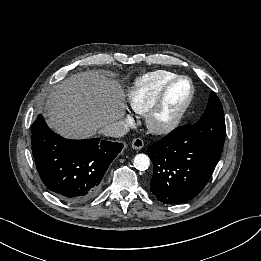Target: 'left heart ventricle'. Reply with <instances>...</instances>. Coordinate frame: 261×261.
I'll return each mask as SVG.
<instances>
[{"label": "left heart ventricle", "mask_w": 261, "mask_h": 261, "mask_svg": "<svg viewBox=\"0 0 261 261\" xmlns=\"http://www.w3.org/2000/svg\"><path fill=\"white\" fill-rule=\"evenodd\" d=\"M189 92L190 85L187 80H181L175 84L167 96L164 108L159 115V123H168L176 115L188 98Z\"/></svg>", "instance_id": "obj_1"}]
</instances>
